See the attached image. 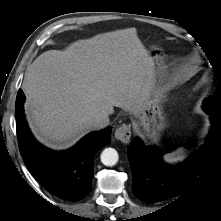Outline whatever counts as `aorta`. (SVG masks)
<instances>
[{"label": "aorta", "mask_w": 221, "mask_h": 221, "mask_svg": "<svg viewBox=\"0 0 221 221\" xmlns=\"http://www.w3.org/2000/svg\"><path fill=\"white\" fill-rule=\"evenodd\" d=\"M118 153L114 148H106L101 153V162L105 166H114L118 162Z\"/></svg>", "instance_id": "obj_1"}]
</instances>
